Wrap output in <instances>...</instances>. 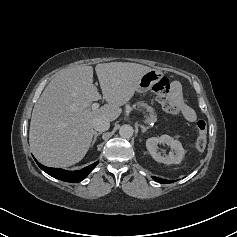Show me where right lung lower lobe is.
<instances>
[{"instance_id":"98d812e1","label":"right lung lower lobe","mask_w":237,"mask_h":237,"mask_svg":"<svg viewBox=\"0 0 237 237\" xmlns=\"http://www.w3.org/2000/svg\"><path fill=\"white\" fill-rule=\"evenodd\" d=\"M35 161L38 164V166L50 176L62 181L73 182V183L82 181L98 164V162H95L81 170L67 171L60 168L46 167L40 164L36 159Z\"/></svg>"}]
</instances>
